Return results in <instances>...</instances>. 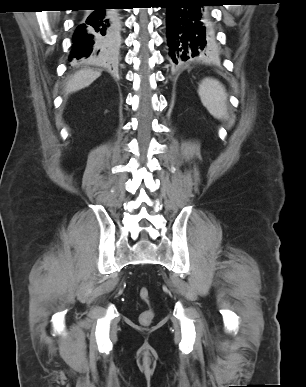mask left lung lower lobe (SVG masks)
<instances>
[{
	"label": "left lung lower lobe",
	"instance_id": "obj_1",
	"mask_svg": "<svg viewBox=\"0 0 306 387\" xmlns=\"http://www.w3.org/2000/svg\"><path fill=\"white\" fill-rule=\"evenodd\" d=\"M167 45L174 66H185L202 59L210 51L214 39L210 30L207 6L211 0H165Z\"/></svg>",
	"mask_w": 306,
	"mask_h": 387
}]
</instances>
